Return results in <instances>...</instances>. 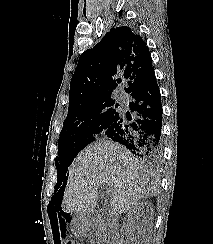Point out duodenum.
Wrapping results in <instances>:
<instances>
[{
    "label": "duodenum",
    "instance_id": "duodenum-1",
    "mask_svg": "<svg viewBox=\"0 0 213 244\" xmlns=\"http://www.w3.org/2000/svg\"><path fill=\"white\" fill-rule=\"evenodd\" d=\"M93 217H95V215L93 216H88V219L91 220ZM115 236H113L111 239H114ZM114 242H111V244H113Z\"/></svg>",
    "mask_w": 213,
    "mask_h": 244
}]
</instances>
